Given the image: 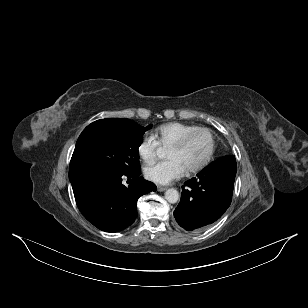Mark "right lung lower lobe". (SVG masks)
<instances>
[{
    "label": "right lung lower lobe",
    "instance_id": "98d812e1",
    "mask_svg": "<svg viewBox=\"0 0 308 308\" xmlns=\"http://www.w3.org/2000/svg\"><path fill=\"white\" fill-rule=\"evenodd\" d=\"M126 177L133 182L128 187L122 183ZM70 181L80 212L105 232L120 231L131 225L137 215L138 198L156 191L155 184L140 177V170L116 176L85 173Z\"/></svg>",
    "mask_w": 308,
    "mask_h": 308
}]
</instances>
